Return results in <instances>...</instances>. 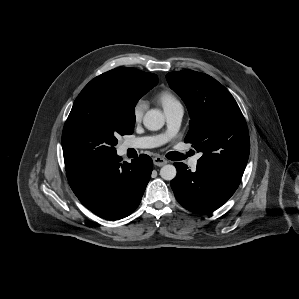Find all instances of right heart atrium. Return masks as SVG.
Segmentation results:
<instances>
[{
    "label": "right heart atrium",
    "mask_w": 299,
    "mask_h": 299,
    "mask_svg": "<svg viewBox=\"0 0 299 299\" xmlns=\"http://www.w3.org/2000/svg\"><path fill=\"white\" fill-rule=\"evenodd\" d=\"M146 109V103L142 100H139L135 103L132 111L133 120L135 122H140L144 115Z\"/></svg>",
    "instance_id": "obj_1"
}]
</instances>
